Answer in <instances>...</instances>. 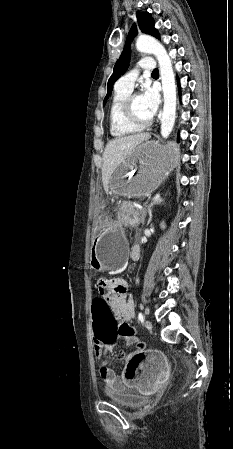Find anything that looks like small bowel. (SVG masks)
<instances>
[{
    "instance_id": "obj_1",
    "label": "small bowel",
    "mask_w": 233,
    "mask_h": 449,
    "mask_svg": "<svg viewBox=\"0 0 233 449\" xmlns=\"http://www.w3.org/2000/svg\"><path fill=\"white\" fill-rule=\"evenodd\" d=\"M131 259L136 257L132 254ZM127 282L117 278L115 274H99L96 289L102 296L101 301L109 302V310L113 313L115 325L118 327V341L125 345L138 343L136 328L129 324L135 316V304L132 296L127 295ZM99 301V300H97ZM93 334V351L99 367L100 377L107 387H116L123 383L135 384V390H145L150 393L158 390L162 377H167L170 364L165 362V355L161 347H148L144 361V368H138L137 375H127L126 380L114 370L107 367L106 353L111 351L115 343H109L108 349H97Z\"/></svg>"
}]
</instances>
